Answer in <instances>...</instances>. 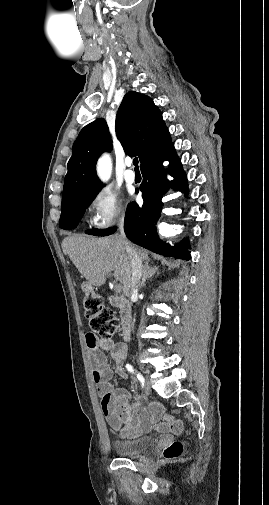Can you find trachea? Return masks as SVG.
<instances>
[{
  "label": "trachea",
  "instance_id": "1",
  "mask_svg": "<svg viewBox=\"0 0 269 505\" xmlns=\"http://www.w3.org/2000/svg\"><path fill=\"white\" fill-rule=\"evenodd\" d=\"M133 164L135 165V170H139V167H138V158H134L133 159Z\"/></svg>",
  "mask_w": 269,
  "mask_h": 505
}]
</instances>
